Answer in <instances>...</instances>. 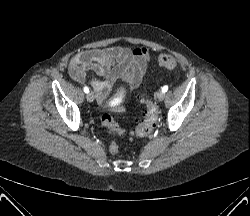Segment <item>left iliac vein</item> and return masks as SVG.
<instances>
[{
	"label": "left iliac vein",
	"instance_id": "obj_1",
	"mask_svg": "<svg viewBox=\"0 0 250 216\" xmlns=\"http://www.w3.org/2000/svg\"><path fill=\"white\" fill-rule=\"evenodd\" d=\"M157 98H158V100L162 101L165 98V92L158 91L157 92Z\"/></svg>",
	"mask_w": 250,
	"mask_h": 216
}]
</instances>
